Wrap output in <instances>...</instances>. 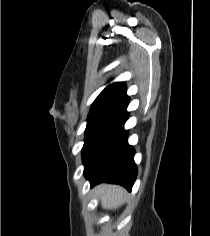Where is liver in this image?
<instances>
[{"label":"liver","instance_id":"obj_1","mask_svg":"<svg viewBox=\"0 0 210 236\" xmlns=\"http://www.w3.org/2000/svg\"><path fill=\"white\" fill-rule=\"evenodd\" d=\"M96 193L103 208L116 210L126 201V191L113 184H101L96 187Z\"/></svg>","mask_w":210,"mask_h":236}]
</instances>
